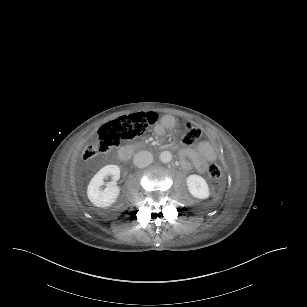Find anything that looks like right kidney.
Segmentation results:
<instances>
[{"label":"right kidney","mask_w":307,"mask_h":307,"mask_svg":"<svg viewBox=\"0 0 307 307\" xmlns=\"http://www.w3.org/2000/svg\"><path fill=\"white\" fill-rule=\"evenodd\" d=\"M108 175L112 176V181L106 183V188L102 189L104 185L103 179ZM120 179V168L117 165H106L100 169L94 177L91 179L88 188V199L96 207H108L111 206L116 198L119 196L120 189L117 186V181Z\"/></svg>","instance_id":"1"}]
</instances>
